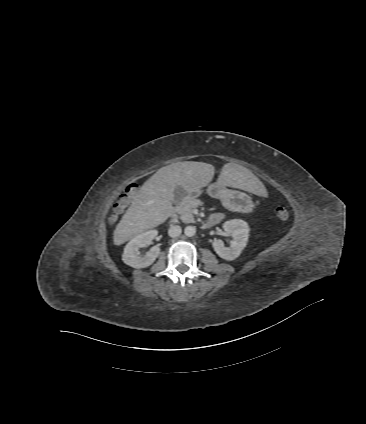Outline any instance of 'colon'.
<instances>
[{
	"mask_svg": "<svg viewBox=\"0 0 366 424\" xmlns=\"http://www.w3.org/2000/svg\"><path fill=\"white\" fill-rule=\"evenodd\" d=\"M137 192V186L136 185H130L125 193L119 198L117 201L114 210H113V216L117 217L118 214L123 211L126 206L128 205L130 199L136 194ZM276 214L278 218L281 220H286L289 217V212L284 207H278L276 210Z\"/></svg>",
	"mask_w": 366,
	"mask_h": 424,
	"instance_id": "1",
	"label": "colon"
}]
</instances>
